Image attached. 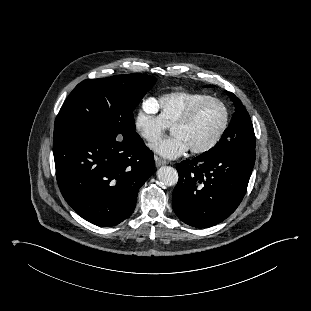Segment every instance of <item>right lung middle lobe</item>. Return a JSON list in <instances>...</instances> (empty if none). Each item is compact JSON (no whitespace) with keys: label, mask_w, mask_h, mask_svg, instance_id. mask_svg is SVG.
Here are the masks:
<instances>
[{"label":"right lung middle lobe","mask_w":311,"mask_h":311,"mask_svg":"<svg viewBox=\"0 0 311 311\" xmlns=\"http://www.w3.org/2000/svg\"><path fill=\"white\" fill-rule=\"evenodd\" d=\"M156 80L153 76L127 74L82 81L56 117L54 142L66 138H138L133 111Z\"/></svg>","instance_id":"1"}]
</instances>
